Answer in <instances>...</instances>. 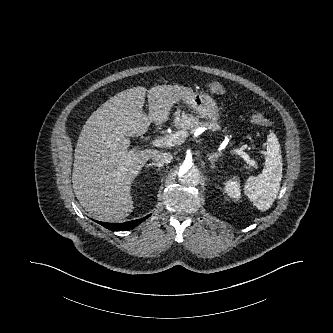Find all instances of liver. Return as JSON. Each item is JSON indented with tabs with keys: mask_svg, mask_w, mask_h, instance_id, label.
<instances>
[{
	"mask_svg": "<svg viewBox=\"0 0 333 333\" xmlns=\"http://www.w3.org/2000/svg\"><path fill=\"white\" fill-rule=\"evenodd\" d=\"M193 92L178 85L137 86L111 97L87 119L75 148L73 189L79 203L102 221L126 218L134 209L131 184L156 150H129V137L152 122L168 120L171 107ZM149 115L143 113L145 95Z\"/></svg>",
	"mask_w": 333,
	"mask_h": 333,
	"instance_id": "liver-1",
	"label": "liver"
}]
</instances>
